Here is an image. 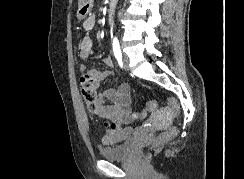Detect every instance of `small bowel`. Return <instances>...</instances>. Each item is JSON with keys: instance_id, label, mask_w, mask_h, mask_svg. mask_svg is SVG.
I'll return each mask as SVG.
<instances>
[{"instance_id": "1", "label": "small bowel", "mask_w": 244, "mask_h": 179, "mask_svg": "<svg viewBox=\"0 0 244 179\" xmlns=\"http://www.w3.org/2000/svg\"><path fill=\"white\" fill-rule=\"evenodd\" d=\"M83 19V28L91 30L95 25V16ZM94 53L92 40L86 35H82L78 42V56L85 60ZM107 68L113 66L111 57H106L103 61ZM81 71H86L87 66L80 64ZM88 74L99 80H105L110 76L109 71L99 69H89ZM130 85L124 84L119 89L109 87L98 94L96 112L99 116L109 122L110 129L106 131L103 141L106 144H116L125 140L131 132L133 122L130 114Z\"/></svg>"}]
</instances>
